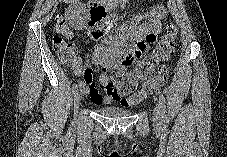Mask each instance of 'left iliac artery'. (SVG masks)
<instances>
[{"instance_id":"left-iliac-artery-1","label":"left iliac artery","mask_w":227,"mask_h":157,"mask_svg":"<svg viewBox=\"0 0 227 157\" xmlns=\"http://www.w3.org/2000/svg\"><path fill=\"white\" fill-rule=\"evenodd\" d=\"M159 104H160V108H161V112H162L161 117L163 119H165L166 118V112H167L166 100H165L164 95L161 92H159Z\"/></svg>"}]
</instances>
